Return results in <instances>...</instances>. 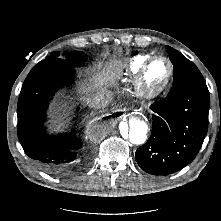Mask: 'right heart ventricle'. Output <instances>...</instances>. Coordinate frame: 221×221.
<instances>
[{
	"label": "right heart ventricle",
	"mask_w": 221,
	"mask_h": 221,
	"mask_svg": "<svg viewBox=\"0 0 221 221\" xmlns=\"http://www.w3.org/2000/svg\"><path fill=\"white\" fill-rule=\"evenodd\" d=\"M152 56V54H137L131 57L126 63V72L128 75H137L143 64Z\"/></svg>",
	"instance_id": "obj_1"
}]
</instances>
